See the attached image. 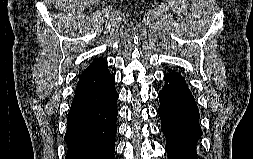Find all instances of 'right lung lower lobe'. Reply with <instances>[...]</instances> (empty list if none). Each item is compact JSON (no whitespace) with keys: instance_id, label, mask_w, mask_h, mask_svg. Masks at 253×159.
Here are the masks:
<instances>
[{"instance_id":"1","label":"right lung lower lobe","mask_w":253,"mask_h":159,"mask_svg":"<svg viewBox=\"0 0 253 159\" xmlns=\"http://www.w3.org/2000/svg\"><path fill=\"white\" fill-rule=\"evenodd\" d=\"M107 64L79 78L67 118L65 159H114L118 93Z\"/></svg>"}]
</instances>
